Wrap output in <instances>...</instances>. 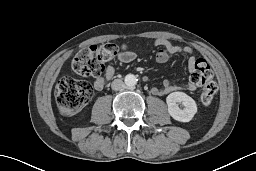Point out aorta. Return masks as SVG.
<instances>
[{
	"mask_svg": "<svg viewBox=\"0 0 256 171\" xmlns=\"http://www.w3.org/2000/svg\"><path fill=\"white\" fill-rule=\"evenodd\" d=\"M124 82L127 87H134L137 84V78L133 74H128L125 76Z\"/></svg>",
	"mask_w": 256,
	"mask_h": 171,
	"instance_id": "aorta-1",
	"label": "aorta"
}]
</instances>
